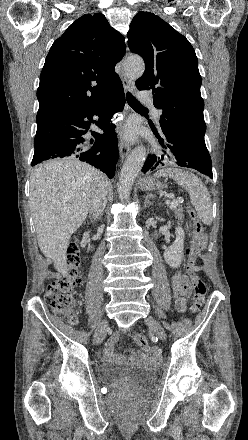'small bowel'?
Segmentation results:
<instances>
[{
  "label": "small bowel",
  "instance_id": "1",
  "mask_svg": "<svg viewBox=\"0 0 248 440\" xmlns=\"http://www.w3.org/2000/svg\"><path fill=\"white\" fill-rule=\"evenodd\" d=\"M172 288L176 297V307L179 312H185L187 308V302L191 291V286L189 279L186 275L182 274L180 270H177L171 279ZM118 334H114L110 337L106 347V357L108 359H114V349L115 345L118 342ZM136 359L143 363H151L156 366L158 364V360L155 357V351H152L151 357H147L144 353H138Z\"/></svg>",
  "mask_w": 248,
  "mask_h": 440
}]
</instances>
